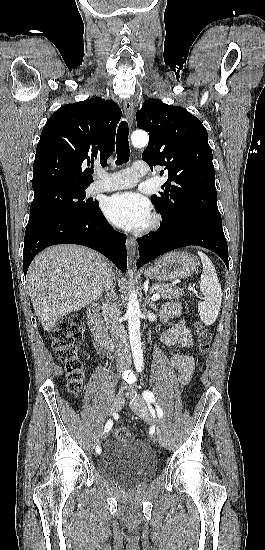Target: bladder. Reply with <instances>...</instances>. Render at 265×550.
<instances>
[{
	"label": "bladder",
	"instance_id": "31cf9c89",
	"mask_svg": "<svg viewBox=\"0 0 265 550\" xmlns=\"http://www.w3.org/2000/svg\"><path fill=\"white\" fill-rule=\"evenodd\" d=\"M97 466L101 473L118 482L136 485L150 480L157 471L158 463L149 445L133 438L109 443Z\"/></svg>",
	"mask_w": 265,
	"mask_h": 550
}]
</instances>
